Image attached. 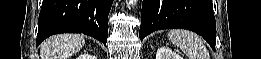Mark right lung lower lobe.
Masks as SVG:
<instances>
[{"instance_id":"right-lung-lower-lobe-1","label":"right lung lower lobe","mask_w":261,"mask_h":59,"mask_svg":"<svg viewBox=\"0 0 261 59\" xmlns=\"http://www.w3.org/2000/svg\"><path fill=\"white\" fill-rule=\"evenodd\" d=\"M113 0H43L36 46L59 33H84L106 45Z\"/></svg>"}]
</instances>
